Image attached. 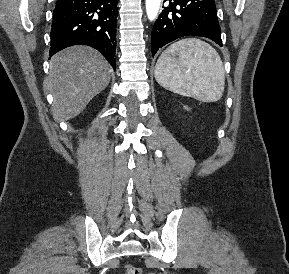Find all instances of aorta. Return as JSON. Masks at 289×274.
<instances>
[{"label":"aorta","instance_id":"1","mask_svg":"<svg viewBox=\"0 0 289 274\" xmlns=\"http://www.w3.org/2000/svg\"><path fill=\"white\" fill-rule=\"evenodd\" d=\"M161 0H146V13L150 21H154L158 15Z\"/></svg>","mask_w":289,"mask_h":274}]
</instances>
